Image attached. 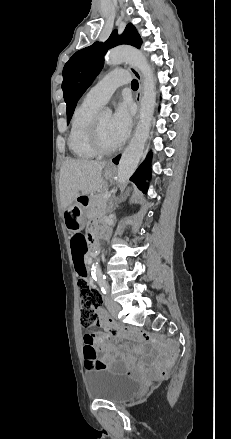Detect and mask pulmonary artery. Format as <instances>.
<instances>
[{
	"label": "pulmonary artery",
	"mask_w": 231,
	"mask_h": 439,
	"mask_svg": "<svg viewBox=\"0 0 231 439\" xmlns=\"http://www.w3.org/2000/svg\"><path fill=\"white\" fill-rule=\"evenodd\" d=\"M129 80L130 74L127 71H112L95 84L85 98L101 106L109 100L119 86L127 84Z\"/></svg>",
	"instance_id": "pulmonary-artery-1"
}]
</instances>
